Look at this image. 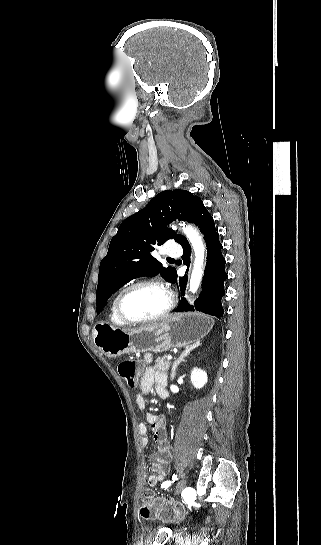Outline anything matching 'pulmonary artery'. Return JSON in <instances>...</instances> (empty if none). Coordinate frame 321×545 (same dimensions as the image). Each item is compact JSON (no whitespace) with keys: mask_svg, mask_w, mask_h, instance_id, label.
Wrapping results in <instances>:
<instances>
[{"mask_svg":"<svg viewBox=\"0 0 321 545\" xmlns=\"http://www.w3.org/2000/svg\"><path fill=\"white\" fill-rule=\"evenodd\" d=\"M181 253V247L177 242L172 241L168 245V250H165L163 257L165 261H176L177 257L181 256Z\"/></svg>","mask_w":321,"mask_h":545,"instance_id":"obj_1","label":"pulmonary artery"}]
</instances>
